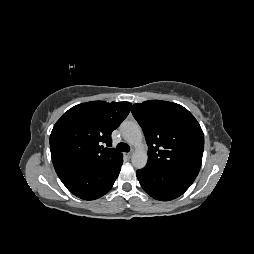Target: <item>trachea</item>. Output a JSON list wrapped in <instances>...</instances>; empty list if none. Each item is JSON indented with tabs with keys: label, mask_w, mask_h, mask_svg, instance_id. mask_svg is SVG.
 <instances>
[{
	"label": "trachea",
	"mask_w": 254,
	"mask_h": 254,
	"mask_svg": "<svg viewBox=\"0 0 254 254\" xmlns=\"http://www.w3.org/2000/svg\"><path fill=\"white\" fill-rule=\"evenodd\" d=\"M116 149L120 152H129L130 151L129 145L126 143H122V142L117 145Z\"/></svg>",
	"instance_id": "3493384b"
}]
</instances>
